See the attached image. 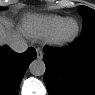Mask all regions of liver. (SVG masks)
Listing matches in <instances>:
<instances>
[{
    "label": "liver",
    "mask_w": 95,
    "mask_h": 95,
    "mask_svg": "<svg viewBox=\"0 0 95 95\" xmlns=\"http://www.w3.org/2000/svg\"><path fill=\"white\" fill-rule=\"evenodd\" d=\"M20 39V34L12 29L11 22L2 17L0 25V43L1 45H9L11 42Z\"/></svg>",
    "instance_id": "liver-1"
}]
</instances>
